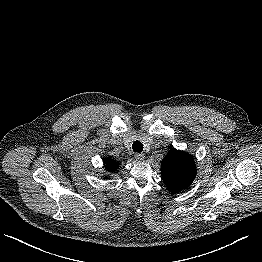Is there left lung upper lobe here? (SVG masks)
I'll return each instance as SVG.
<instances>
[{"label": "left lung upper lobe", "instance_id": "1", "mask_svg": "<svg viewBox=\"0 0 262 262\" xmlns=\"http://www.w3.org/2000/svg\"><path fill=\"white\" fill-rule=\"evenodd\" d=\"M162 180L171 193L187 189L196 176V165L191 154L172 148L161 163Z\"/></svg>", "mask_w": 262, "mask_h": 262}]
</instances>
